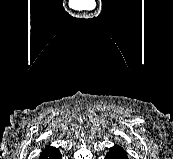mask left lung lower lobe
I'll use <instances>...</instances> for the list:
<instances>
[{
    "mask_svg": "<svg viewBox=\"0 0 173 159\" xmlns=\"http://www.w3.org/2000/svg\"><path fill=\"white\" fill-rule=\"evenodd\" d=\"M105 159H128L127 152L118 145L109 149Z\"/></svg>",
    "mask_w": 173,
    "mask_h": 159,
    "instance_id": "1",
    "label": "left lung lower lobe"
}]
</instances>
